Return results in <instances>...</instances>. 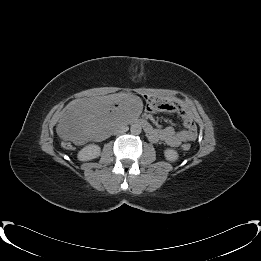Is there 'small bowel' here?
<instances>
[{
	"label": "small bowel",
	"mask_w": 261,
	"mask_h": 261,
	"mask_svg": "<svg viewBox=\"0 0 261 261\" xmlns=\"http://www.w3.org/2000/svg\"><path fill=\"white\" fill-rule=\"evenodd\" d=\"M148 107L151 112L173 113L180 117L185 130L177 131L173 127L152 128L148 133L153 142L163 141L176 147L184 142H191L197 138V125L189 109L182 103L169 98L148 96Z\"/></svg>",
	"instance_id": "obj_1"
}]
</instances>
